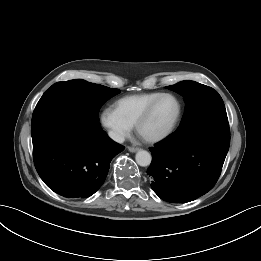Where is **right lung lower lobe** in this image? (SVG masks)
<instances>
[{"instance_id": "98d812e1", "label": "right lung lower lobe", "mask_w": 261, "mask_h": 261, "mask_svg": "<svg viewBox=\"0 0 261 261\" xmlns=\"http://www.w3.org/2000/svg\"><path fill=\"white\" fill-rule=\"evenodd\" d=\"M33 159L44 183L64 197L87 198L104 183L124 146L88 115L54 111L32 121Z\"/></svg>"}]
</instances>
